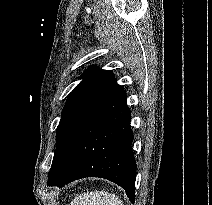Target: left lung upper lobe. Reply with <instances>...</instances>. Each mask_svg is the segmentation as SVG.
I'll use <instances>...</instances> for the list:
<instances>
[{"label": "left lung upper lobe", "instance_id": "left-lung-upper-lobe-1", "mask_svg": "<svg viewBox=\"0 0 212 205\" xmlns=\"http://www.w3.org/2000/svg\"><path fill=\"white\" fill-rule=\"evenodd\" d=\"M113 81L114 76L110 71L92 66L83 74V80L70 93L57 127V148L48 174V185L52 184L59 175L81 122Z\"/></svg>", "mask_w": 212, "mask_h": 205}]
</instances>
